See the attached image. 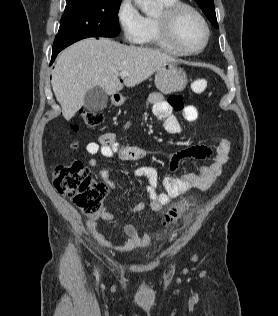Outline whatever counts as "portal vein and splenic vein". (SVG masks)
<instances>
[{
	"instance_id": "1",
	"label": "portal vein and splenic vein",
	"mask_w": 278,
	"mask_h": 316,
	"mask_svg": "<svg viewBox=\"0 0 278 316\" xmlns=\"http://www.w3.org/2000/svg\"><path fill=\"white\" fill-rule=\"evenodd\" d=\"M122 78L126 77L128 75L127 71H121L119 74Z\"/></svg>"
}]
</instances>
